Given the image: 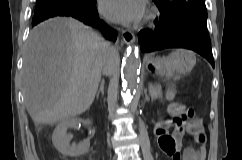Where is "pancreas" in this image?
I'll list each match as a JSON object with an SVG mask.
<instances>
[{
  "instance_id": "cf45deb5",
  "label": "pancreas",
  "mask_w": 242,
  "mask_h": 160,
  "mask_svg": "<svg viewBox=\"0 0 242 160\" xmlns=\"http://www.w3.org/2000/svg\"><path fill=\"white\" fill-rule=\"evenodd\" d=\"M149 92L152 97V99L161 98L162 92H161V86L158 84L150 85L149 86Z\"/></svg>"
}]
</instances>
